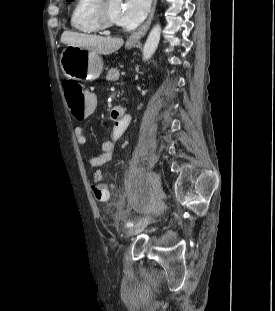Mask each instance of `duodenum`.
<instances>
[{
	"mask_svg": "<svg viewBox=\"0 0 275 311\" xmlns=\"http://www.w3.org/2000/svg\"><path fill=\"white\" fill-rule=\"evenodd\" d=\"M114 109H116V110H124V108L121 107V106H117V107H115ZM114 109H113V110H114Z\"/></svg>",
	"mask_w": 275,
	"mask_h": 311,
	"instance_id": "410a0bca",
	"label": "duodenum"
}]
</instances>
